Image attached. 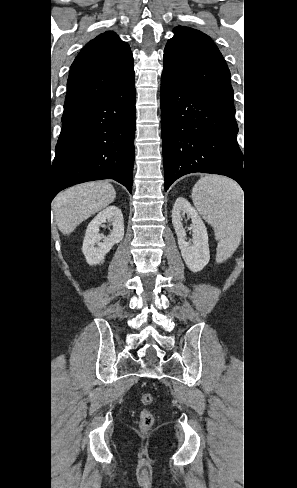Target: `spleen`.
Returning a JSON list of instances; mask_svg holds the SVG:
<instances>
[{
    "label": "spleen",
    "mask_w": 297,
    "mask_h": 488,
    "mask_svg": "<svg viewBox=\"0 0 297 488\" xmlns=\"http://www.w3.org/2000/svg\"><path fill=\"white\" fill-rule=\"evenodd\" d=\"M192 199L203 218L213 226L220 244H227L230 251L234 250L238 245L241 188L228 178L205 176L195 184Z\"/></svg>",
    "instance_id": "spleen-1"
}]
</instances>
